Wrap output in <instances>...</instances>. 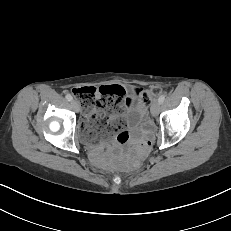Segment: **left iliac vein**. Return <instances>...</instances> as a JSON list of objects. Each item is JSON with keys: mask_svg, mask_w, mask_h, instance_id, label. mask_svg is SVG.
<instances>
[{"mask_svg": "<svg viewBox=\"0 0 231 231\" xmlns=\"http://www.w3.org/2000/svg\"><path fill=\"white\" fill-rule=\"evenodd\" d=\"M159 111H160V103L158 101H155L151 106L152 116L156 117L159 114Z\"/></svg>", "mask_w": 231, "mask_h": 231, "instance_id": "obj_1", "label": "left iliac vein"}]
</instances>
